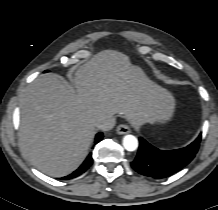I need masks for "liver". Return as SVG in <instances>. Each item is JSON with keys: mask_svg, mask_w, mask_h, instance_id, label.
Wrapping results in <instances>:
<instances>
[{"mask_svg": "<svg viewBox=\"0 0 218 210\" xmlns=\"http://www.w3.org/2000/svg\"><path fill=\"white\" fill-rule=\"evenodd\" d=\"M74 82L76 89L56 74H44L20 100L21 145L30 162L53 177L79 167L99 122L119 114L140 127L153 115L164 123L174 113L172 94L116 51L96 54L78 68Z\"/></svg>", "mask_w": 218, "mask_h": 210, "instance_id": "6515ba94", "label": "liver"}]
</instances>
